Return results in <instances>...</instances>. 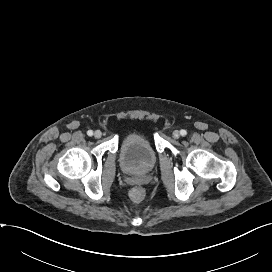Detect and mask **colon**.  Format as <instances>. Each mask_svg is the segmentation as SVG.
<instances>
[{
	"instance_id": "1",
	"label": "colon",
	"mask_w": 272,
	"mask_h": 272,
	"mask_svg": "<svg viewBox=\"0 0 272 272\" xmlns=\"http://www.w3.org/2000/svg\"><path fill=\"white\" fill-rule=\"evenodd\" d=\"M130 196L133 201L135 202H141L144 199L145 192L140 187H135L131 190Z\"/></svg>"
}]
</instances>
